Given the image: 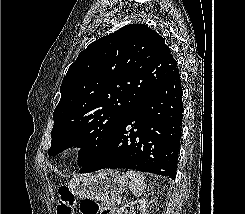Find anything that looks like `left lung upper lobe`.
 <instances>
[{"instance_id":"5c2ea615","label":"left lung upper lobe","mask_w":245,"mask_h":214,"mask_svg":"<svg viewBox=\"0 0 245 214\" xmlns=\"http://www.w3.org/2000/svg\"><path fill=\"white\" fill-rule=\"evenodd\" d=\"M176 67L164 38L144 24L126 25L91 43L63 78L49 156L83 147L82 166Z\"/></svg>"}]
</instances>
